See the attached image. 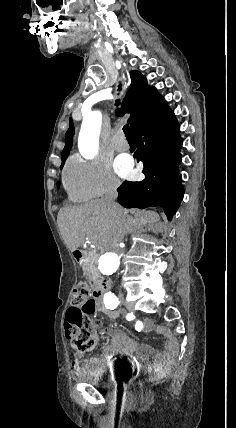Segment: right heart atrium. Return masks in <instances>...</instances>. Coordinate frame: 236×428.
Listing matches in <instances>:
<instances>
[{"label":"right heart atrium","instance_id":"1","mask_svg":"<svg viewBox=\"0 0 236 428\" xmlns=\"http://www.w3.org/2000/svg\"><path fill=\"white\" fill-rule=\"evenodd\" d=\"M63 184L69 198L76 203L117 197L122 186L107 162L80 156L67 164Z\"/></svg>","mask_w":236,"mask_h":428}]
</instances>
